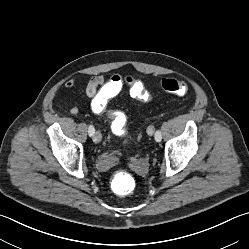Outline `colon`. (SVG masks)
Wrapping results in <instances>:
<instances>
[{
  "label": "colon",
  "mask_w": 249,
  "mask_h": 249,
  "mask_svg": "<svg viewBox=\"0 0 249 249\" xmlns=\"http://www.w3.org/2000/svg\"><path fill=\"white\" fill-rule=\"evenodd\" d=\"M112 84L110 95H116L126 85L129 88V94L132 98L143 102H148L151 99L150 92L147 90L143 81L131 75L115 74L110 78ZM161 88L170 94L183 96L188 91V85L184 80L166 78L161 82ZM109 102V100L107 101ZM116 135H124L126 133V120H117L112 127ZM114 184L116 186L115 193L118 195H127L131 189L129 185V177L125 173H119L115 178Z\"/></svg>",
  "instance_id": "1"
}]
</instances>
